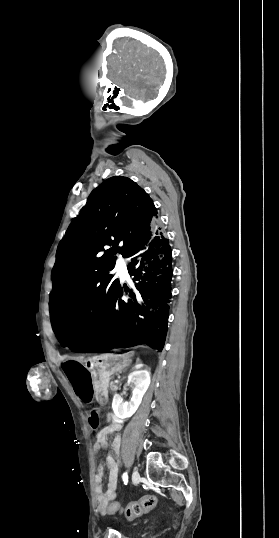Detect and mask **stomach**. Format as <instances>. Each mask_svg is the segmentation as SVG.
I'll return each mask as SVG.
<instances>
[{
    "instance_id": "stomach-1",
    "label": "stomach",
    "mask_w": 279,
    "mask_h": 538,
    "mask_svg": "<svg viewBox=\"0 0 279 538\" xmlns=\"http://www.w3.org/2000/svg\"><path fill=\"white\" fill-rule=\"evenodd\" d=\"M97 362L100 364L98 377L94 385L97 387V397L102 408L108 405V386L114 374H119L120 368H127L131 364L130 353H98Z\"/></svg>"
}]
</instances>
